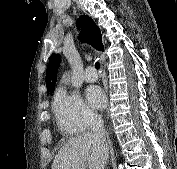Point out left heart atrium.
Segmentation results:
<instances>
[{"instance_id":"39dd6f15","label":"left heart atrium","mask_w":177,"mask_h":169,"mask_svg":"<svg viewBox=\"0 0 177 169\" xmlns=\"http://www.w3.org/2000/svg\"><path fill=\"white\" fill-rule=\"evenodd\" d=\"M86 99L89 105L95 109H100L105 104V95L98 86H90L86 90Z\"/></svg>"}]
</instances>
